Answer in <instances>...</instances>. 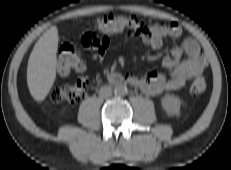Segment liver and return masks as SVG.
Wrapping results in <instances>:
<instances>
[{
    "label": "liver",
    "mask_w": 231,
    "mask_h": 170,
    "mask_svg": "<svg viewBox=\"0 0 231 170\" xmlns=\"http://www.w3.org/2000/svg\"><path fill=\"white\" fill-rule=\"evenodd\" d=\"M58 29L52 26L36 42L27 66V84L34 100L41 102L48 95L56 78Z\"/></svg>",
    "instance_id": "obj_1"
}]
</instances>
